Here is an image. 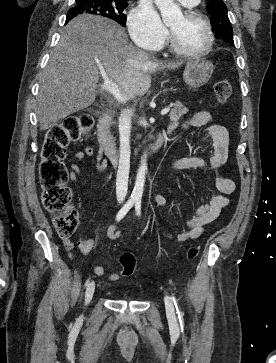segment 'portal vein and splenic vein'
Returning a JSON list of instances; mask_svg holds the SVG:
<instances>
[{
  "mask_svg": "<svg viewBox=\"0 0 276 363\" xmlns=\"http://www.w3.org/2000/svg\"><path fill=\"white\" fill-rule=\"evenodd\" d=\"M103 84L101 85V89L110 92L117 101L121 103H126V98L123 97V95L120 92V89L116 83H114L112 80L108 78L107 75L103 74ZM170 111V108H164L161 111V115H166Z\"/></svg>",
  "mask_w": 276,
  "mask_h": 363,
  "instance_id": "1",
  "label": "portal vein and splenic vein"
}]
</instances>
